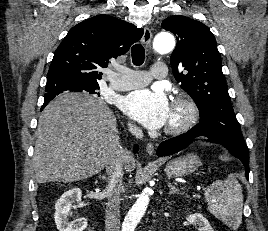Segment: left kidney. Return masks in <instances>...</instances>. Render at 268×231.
I'll list each match as a JSON object with an SVG mask.
<instances>
[{"instance_id":"1","label":"left kidney","mask_w":268,"mask_h":231,"mask_svg":"<svg viewBox=\"0 0 268 231\" xmlns=\"http://www.w3.org/2000/svg\"><path fill=\"white\" fill-rule=\"evenodd\" d=\"M187 220L194 225H198L199 231H214L208 220L200 213L190 214Z\"/></svg>"}]
</instances>
